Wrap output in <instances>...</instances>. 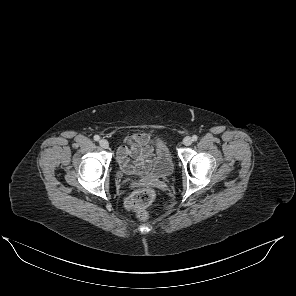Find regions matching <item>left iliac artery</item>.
I'll return each instance as SVG.
<instances>
[{"label": "left iliac artery", "instance_id": "obj_1", "mask_svg": "<svg viewBox=\"0 0 296 296\" xmlns=\"http://www.w3.org/2000/svg\"><path fill=\"white\" fill-rule=\"evenodd\" d=\"M198 137L196 135L192 136V141H197Z\"/></svg>", "mask_w": 296, "mask_h": 296}]
</instances>
